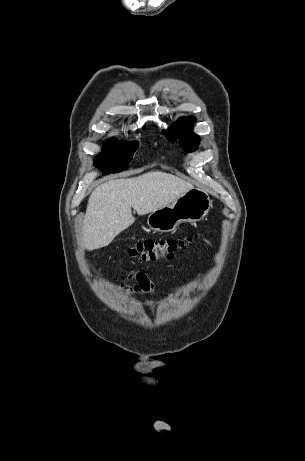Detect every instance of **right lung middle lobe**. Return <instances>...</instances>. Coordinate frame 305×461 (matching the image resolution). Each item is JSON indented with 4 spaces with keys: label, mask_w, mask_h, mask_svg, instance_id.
<instances>
[{
    "label": "right lung middle lobe",
    "mask_w": 305,
    "mask_h": 461,
    "mask_svg": "<svg viewBox=\"0 0 305 461\" xmlns=\"http://www.w3.org/2000/svg\"><path fill=\"white\" fill-rule=\"evenodd\" d=\"M102 154L96 156L94 164L103 170V175L121 172L128 168L137 141L124 142L114 138L105 141Z\"/></svg>",
    "instance_id": "right-lung-middle-lobe-1"
}]
</instances>
